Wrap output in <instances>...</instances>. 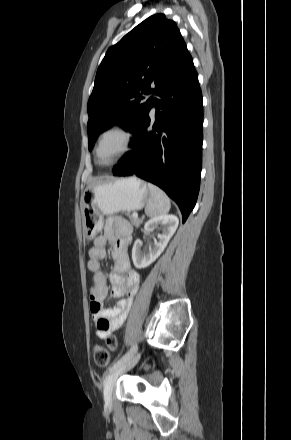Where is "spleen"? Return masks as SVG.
<instances>
[{
	"mask_svg": "<svg viewBox=\"0 0 291 440\" xmlns=\"http://www.w3.org/2000/svg\"><path fill=\"white\" fill-rule=\"evenodd\" d=\"M150 199L146 204L145 213L149 217L165 214L170 210L169 197L159 187L149 183Z\"/></svg>",
	"mask_w": 291,
	"mask_h": 440,
	"instance_id": "obj_1",
	"label": "spleen"
}]
</instances>
